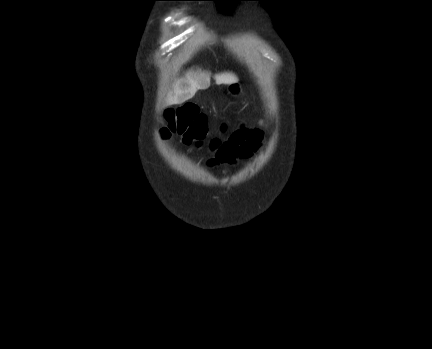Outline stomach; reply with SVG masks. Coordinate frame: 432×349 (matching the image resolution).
Segmentation results:
<instances>
[{"label":"stomach","mask_w":432,"mask_h":349,"mask_svg":"<svg viewBox=\"0 0 432 349\" xmlns=\"http://www.w3.org/2000/svg\"><path fill=\"white\" fill-rule=\"evenodd\" d=\"M228 93L232 96H237L241 91V86L238 82L231 83L227 86Z\"/></svg>","instance_id":"0dacf381"}]
</instances>
